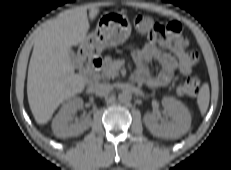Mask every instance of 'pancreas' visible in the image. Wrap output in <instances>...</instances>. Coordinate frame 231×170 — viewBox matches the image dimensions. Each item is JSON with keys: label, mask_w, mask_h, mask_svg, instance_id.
Here are the masks:
<instances>
[{"label": "pancreas", "mask_w": 231, "mask_h": 170, "mask_svg": "<svg viewBox=\"0 0 231 170\" xmlns=\"http://www.w3.org/2000/svg\"><path fill=\"white\" fill-rule=\"evenodd\" d=\"M116 61L110 56L104 58V64L102 67L101 77L103 79H114L118 75V70L115 67Z\"/></svg>", "instance_id": "obj_1"}]
</instances>
